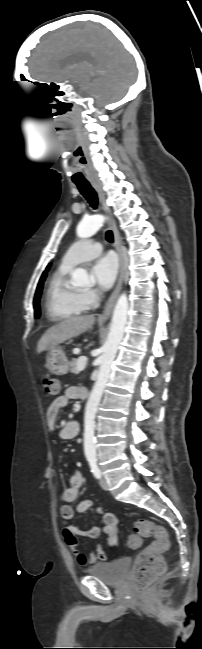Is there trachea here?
<instances>
[{
    "instance_id": "trachea-1",
    "label": "trachea",
    "mask_w": 202,
    "mask_h": 649,
    "mask_svg": "<svg viewBox=\"0 0 202 649\" xmlns=\"http://www.w3.org/2000/svg\"><path fill=\"white\" fill-rule=\"evenodd\" d=\"M80 193L85 197L93 209H97L98 206V197L95 190L92 188L89 182L76 183ZM106 239L109 243H113V233L112 231L106 232Z\"/></svg>"
}]
</instances>
